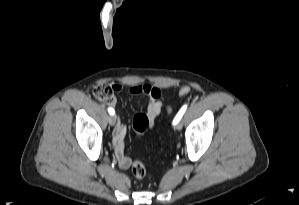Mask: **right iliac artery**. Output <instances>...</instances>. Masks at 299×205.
<instances>
[{
    "instance_id": "right-iliac-artery-1",
    "label": "right iliac artery",
    "mask_w": 299,
    "mask_h": 205,
    "mask_svg": "<svg viewBox=\"0 0 299 205\" xmlns=\"http://www.w3.org/2000/svg\"><path fill=\"white\" fill-rule=\"evenodd\" d=\"M108 112L113 115L115 113L114 109L113 108H108Z\"/></svg>"
}]
</instances>
